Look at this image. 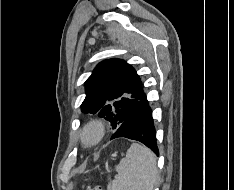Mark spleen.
<instances>
[{
	"instance_id": "obj_1",
	"label": "spleen",
	"mask_w": 234,
	"mask_h": 190,
	"mask_svg": "<svg viewBox=\"0 0 234 190\" xmlns=\"http://www.w3.org/2000/svg\"><path fill=\"white\" fill-rule=\"evenodd\" d=\"M115 169L118 175L107 190H154L158 177L156 156L147 147L133 143Z\"/></svg>"
}]
</instances>
